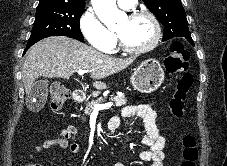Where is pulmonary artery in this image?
<instances>
[{"label":"pulmonary artery","instance_id":"1","mask_svg":"<svg viewBox=\"0 0 227 166\" xmlns=\"http://www.w3.org/2000/svg\"><path fill=\"white\" fill-rule=\"evenodd\" d=\"M136 2L137 0H118L119 6L124 10L132 9Z\"/></svg>","mask_w":227,"mask_h":166}]
</instances>
